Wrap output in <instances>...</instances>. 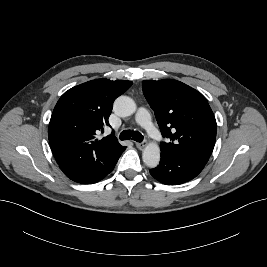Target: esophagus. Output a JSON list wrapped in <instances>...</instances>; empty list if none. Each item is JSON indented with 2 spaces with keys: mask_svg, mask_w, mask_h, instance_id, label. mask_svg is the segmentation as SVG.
I'll return each mask as SVG.
<instances>
[{
  "mask_svg": "<svg viewBox=\"0 0 267 267\" xmlns=\"http://www.w3.org/2000/svg\"><path fill=\"white\" fill-rule=\"evenodd\" d=\"M136 146L139 149H143L145 147V143L144 142H136Z\"/></svg>",
  "mask_w": 267,
  "mask_h": 267,
  "instance_id": "34e87169",
  "label": "esophagus"
}]
</instances>
